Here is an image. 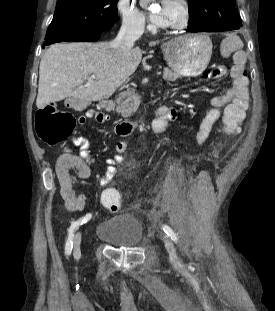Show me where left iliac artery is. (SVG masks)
I'll return each instance as SVG.
<instances>
[{
    "label": "left iliac artery",
    "mask_w": 275,
    "mask_h": 311,
    "mask_svg": "<svg viewBox=\"0 0 275 311\" xmlns=\"http://www.w3.org/2000/svg\"><path fill=\"white\" fill-rule=\"evenodd\" d=\"M162 229L175 243H178V238L172 228H170L168 225H163Z\"/></svg>",
    "instance_id": "obj_1"
}]
</instances>
